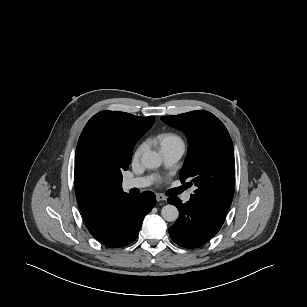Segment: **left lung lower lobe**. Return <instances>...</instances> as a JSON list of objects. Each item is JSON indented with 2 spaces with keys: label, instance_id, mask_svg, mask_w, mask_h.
Masks as SVG:
<instances>
[{
  "label": "left lung lower lobe",
  "instance_id": "1",
  "mask_svg": "<svg viewBox=\"0 0 307 307\" xmlns=\"http://www.w3.org/2000/svg\"><path fill=\"white\" fill-rule=\"evenodd\" d=\"M168 202L175 205L180 212L177 221L169 228L171 239L179 246H202L218 233L223 224L200 211L192 203L183 204L178 197H170Z\"/></svg>",
  "mask_w": 307,
  "mask_h": 307
}]
</instances>
